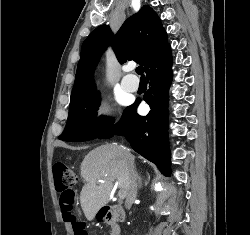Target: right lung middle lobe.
<instances>
[{"label": "right lung middle lobe", "instance_id": "1", "mask_svg": "<svg viewBox=\"0 0 250 235\" xmlns=\"http://www.w3.org/2000/svg\"><path fill=\"white\" fill-rule=\"evenodd\" d=\"M100 94L93 89L70 102L69 116L64 132L59 136L63 141H88L106 131L113 120L98 117Z\"/></svg>", "mask_w": 250, "mask_h": 235}]
</instances>
